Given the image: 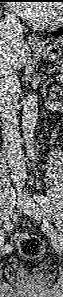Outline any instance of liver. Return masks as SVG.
<instances>
[{
	"instance_id": "obj_1",
	"label": "liver",
	"mask_w": 63,
	"mask_h": 297,
	"mask_svg": "<svg viewBox=\"0 0 63 297\" xmlns=\"http://www.w3.org/2000/svg\"><path fill=\"white\" fill-rule=\"evenodd\" d=\"M29 54L30 49L24 40L20 44H15L0 34V69L4 65L17 71L26 63Z\"/></svg>"
}]
</instances>
